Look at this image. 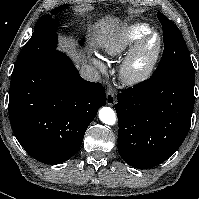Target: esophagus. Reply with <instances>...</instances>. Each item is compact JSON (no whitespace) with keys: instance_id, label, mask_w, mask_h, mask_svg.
I'll return each mask as SVG.
<instances>
[{"instance_id":"esophagus-1","label":"esophagus","mask_w":199,"mask_h":199,"mask_svg":"<svg viewBox=\"0 0 199 199\" xmlns=\"http://www.w3.org/2000/svg\"><path fill=\"white\" fill-rule=\"evenodd\" d=\"M106 102L109 106H113L116 103V98L112 89H109L106 94Z\"/></svg>"}]
</instances>
